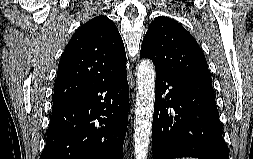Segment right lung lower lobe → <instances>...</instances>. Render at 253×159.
I'll return each mask as SVG.
<instances>
[{"mask_svg": "<svg viewBox=\"0 0 253 159\" xmlns=\"http://www.w3.org/2000/svg\"><path fill=\"white\" fill-rule=\"evenodd\" d=\"M128 104L123 70L52 110L40 159H122Z\"/></svg>", "mask_w": 253, "mask_h": 159, "instance_id": "98d812e1", "label": "right lung lower lobe"}]
</instances>
